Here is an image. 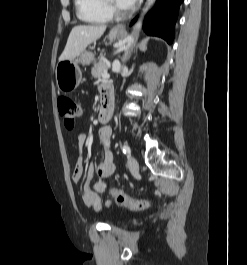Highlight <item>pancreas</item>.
I'll return each instance as SVG.
<instances>
[{
  "instance_id": "cf45deb5",
  "label": "pancreas",
  "mask_w": 247,
  "mask_h": 265,
  "mask_svg": "<svg viewBox=\"0 0 247 265\" xmlns=\"http://www.w3.org/2000/svg\"><path fill=\"white\" fill-rule=\"evenodd\" d=\"M107 72V65L103 60L95 63L91 69V74L94 78H102V75Z\"/></svg>"
}]
</instances>
